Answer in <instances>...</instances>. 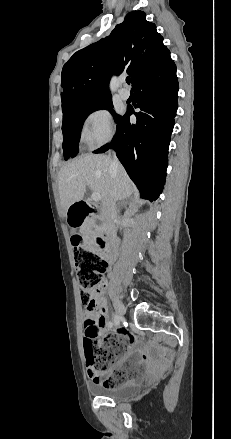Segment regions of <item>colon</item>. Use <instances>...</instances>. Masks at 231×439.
Wrapping results in <instances>:
<instances>
[{"mask_svg": "<svg viewBox=\"0 0 231 439\" xmlns=\"http://www.w3.org/2000/svg\"><path fill=\"white\" fill-rule=\"evenodd\" d=\"M74 264L80 283L81 299L87 307L95 305L92 295L103 283L108 264L96 252L92 251L80 235L71 238ZM127 342L122 337H104L99 345L84 344L86 366L94 381H101L104 386L114 387L127 380V370L123 367L108 374L112 362L117 359Z\"/></svg>", "mask_w": 231, "mask_h": 439, "instance_id": "obj_1", "label": "colon"}]
</instances>
